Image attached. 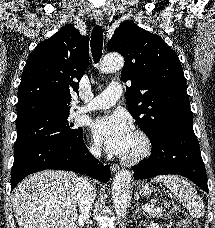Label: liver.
I'll use <instances>...</instances> for the list:
<instances>
[{
  "instance_id": "1",
  "label": "liver",
  "mask_w": 215,
  "mask_h": 228,
  "mask_svg": "<svg viewBox=\"0 0 215 228\" xmlns=\"http://www.w3.org/2000/svg\"><path fill=\"white\" fill-rule=\"evenodd\" d=\"M74 172L44 170L24 178L12 192L18 228H78Z\"/></svg>"
}]
</instances>
